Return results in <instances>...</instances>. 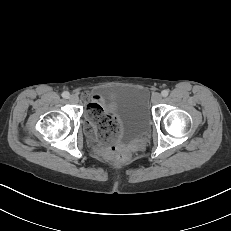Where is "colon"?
<instances>
[{
    "mask_svg": "<svg viewBox=\"0 0 231 231\" xmlns=\"http://www.w3.org/2000/svg\"><path fill=\"white\" fill-rule=\"evenodd\" d=\"M87 115L90 120L98 125L99 131L103 136H111L118 128L116 116L106 114L103 108L96 102L89 103ZM109 153L117 162H125L128 159L127 152L119 146H111Z\"/></svg>",
    "mask_w": 231,
    "mask_h": 231,
    "instance_id": "obj_1",
    "label": "colon"
}]
</instances>
